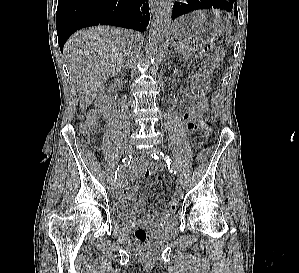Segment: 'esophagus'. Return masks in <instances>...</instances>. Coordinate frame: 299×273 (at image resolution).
Instances as JSON below:
<instances>
[{"label": "esophagus", "instance_id": "34e87169", "mask_svg": "<svg viewBox=\"0 0 299 273\" xmlns=\"http://www.w3.org/2000/svg\"><path fill=\"white\" fill-rule=\"evenodd\" d=\"M150 11L153 13L156 7L159 5V0H149Z\"/></svg>", "mask_w": 299, "mask_h": 273}]
</instances>
